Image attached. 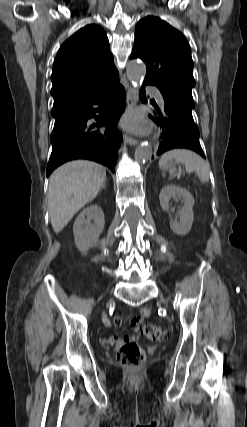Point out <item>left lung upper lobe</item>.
<instances>
[{"label": "left lung upper lobe", "instance_id": "5c2ea615", "mask_svg": "<svg viewBox=\"0 0 247 427\" xmlns=\"http://www.w3.org/2000/svg\"><path fill=\"white\" fill-rule=\"evenodd\" d=\"M130 58L146 63L144 83L158 87L163 98L194 108L191 48L181 32L158 17H145L136 25Z\"/></svg>", "mask_w": 247, "mask_h": 427}]
</instances>
